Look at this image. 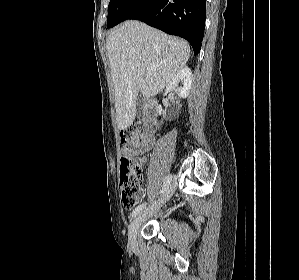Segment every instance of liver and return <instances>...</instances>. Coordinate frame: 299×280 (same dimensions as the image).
Returning <instances> with one entry per match:
<instances>
[{"label":"liver","mask_w":299,"mask_h":280,"mask_svg":"<svg viewBox=\"0 0 299 280\" xmlns=\"http://www.w3.org/2000/svg\"><path fill=\"white\" fill-rule=\"evenodd\" d=\"M106 47L118 128L124 130L136 117L138 93L147 99L160 93L185 67L190 47L186 41L136 20L117 27L108 36ZM141 69L151 70L152 74L141 75Z\"/></svg>","instance_id":"1"}]
</instances>
